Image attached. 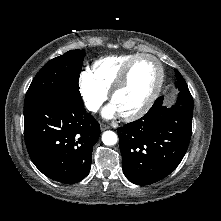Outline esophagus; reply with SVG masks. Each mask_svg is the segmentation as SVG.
I'll use <instances>...</instances> for the list:
<instances>
[{"label": "esophagus", "mask_w": 221, "mask_h": 221, "mask_svg": "<svg viewBox=\"0 0 221 221\" xmlns=\"http://www.w3.org/2000/svg\"><path fill=\"white\" fill-rule=\"evenodd\" d=\"M110 127L108 126V125H106V124H101L100 125V129H101V131H105V130H107V129H109Z\"/></svg>", "instance_id": "obj_1"}]
</instances>
